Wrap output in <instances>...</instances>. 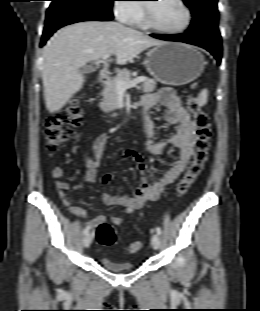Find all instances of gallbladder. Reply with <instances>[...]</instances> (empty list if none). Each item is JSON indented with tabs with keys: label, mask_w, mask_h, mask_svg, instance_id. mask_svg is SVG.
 <instances>
[{
	"label": "gallbladder",
	"mask_w": 260,
	"mask_h": 311,
	"mask_svg": "<svg viewBox=\"0 0 260 311\" xmlns=\"http://www.w3.org/2000/svg\"><path fill=\"white\" fill-rule=\"evenodd\" d=\"M80 70H81L82 73H90V72H92L94 69H93V67H91V66H83Z\"/></svg>",
	"instance_id": "1"
}]
</instances>
